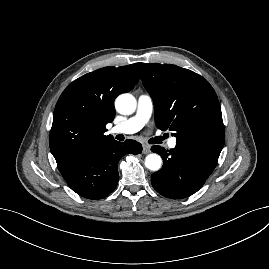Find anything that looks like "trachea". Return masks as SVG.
<instances>
[{
    "instance_id": "3493384b",
    "label": "trachea",
    "mask_w": 269,
    "mask_h": 269,
    "mask_svg": "<svg viewBox=\"0 0 269 269\" xmlns=\"http://www.w3.org/2000/svg\"><path fill=\"white\" fill-rule=\"evenodd\" d=\"M164 138H165V137H159V138L156 139V142L159 143V142H161Z\"/></svg>"
}]
</instances>
